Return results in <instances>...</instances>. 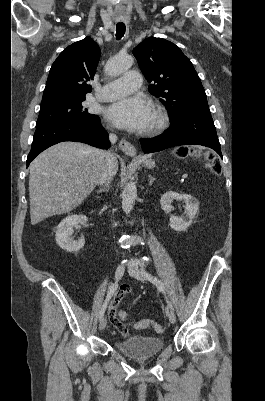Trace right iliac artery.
I'll return each instance as SVG.
<instances>
[{"mask_svg": "<svg viewBox=\"0 0 265 401\" xmlns=\"http://www.w3.org/2000/svg\"><path fill=\"white\" fill-rule=\"evenodd\" d=\"M117 288H118V283H117V282L112 283V284L110 285L109 290H108V293H107V296H106V299H105V302L103 303V305H102V307H101V310H100V312H99V320H101V318L104 316V313H105L107 304H108L109 300L111 299V297H112V296L114 295V293L116 292Z\"/></svg>", "mask_w": 265, "mask_h": 401, "instance_id": "right-iliac-artery-1", "label": "right iliac artery"}]
</instances>
